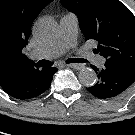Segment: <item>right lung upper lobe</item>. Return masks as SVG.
<instances>
[{
    "mask_svg": "<svg viewBox=\"0 0 135 135\" xmlns=\"http://www.w3.org/2000/svg\"><path fill=\"white\" fill-rule=\"evenodd\" d=\"M52 1L0 0V79L23 68H34L23 49L33 20Z\"/></svg>",
    "mask_w": 135,
    "mask_h": 135,
    "instance_id": "right-lung-upper-lobe-1",
    "label": "right lung upper lobe"
}]
</instances>
